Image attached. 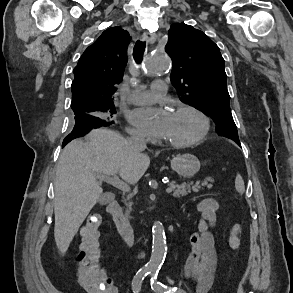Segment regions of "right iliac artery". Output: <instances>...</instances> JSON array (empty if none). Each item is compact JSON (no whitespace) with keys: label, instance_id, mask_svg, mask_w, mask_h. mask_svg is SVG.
Here are the masks:
<instances>
[{"label":"right iliac artery","instance_id":"right-iliac-artery-1","mask_svg":"<svg viewBox=\"0 0 293 293\" xmlns=\"http://www.w3.org/2000/svg\"><path fill=\"white\" fill-rule=\"evenodd\" d=\"M151 268L143 267L141 268L132 280V289L134 293H138L141 289L142 281L150 273Z\"/></svg>","mask_w":293,"mask_h":293}]
</instances>
